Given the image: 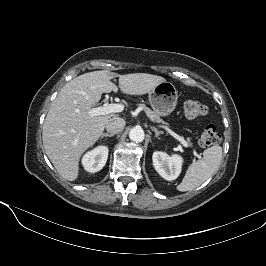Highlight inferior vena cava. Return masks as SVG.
<instances>
[{"label": "inferior vena cava", "mask_w": 266, "mask_h": 266, "mask_svg": "<svg viewBox=\"0 0 266 266\" xmlns=\"http://www.w3.org/2000/svg\"><path fill=\"white\" fill-rule=\"evenodd\" d=\"M125 127V120L120 117H113L106 123V130L111 134L121 132Z\"/></svg>", "instance_id": "obj_1"}]
</instances>
